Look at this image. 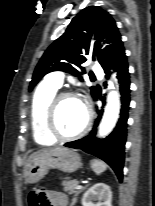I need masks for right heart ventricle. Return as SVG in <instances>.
Returning <instances> with one entry per match:
<instances>
[{
  "label": "right heart ventricle",
  "mask_w": 155,
  "mask_h": 206,
  "mask_svg": "<svg viewBox=\"0 0 155 206\" xmlns=\"http://www.w3.org/2000/svg\"><path fill=\"white\" fill-rule=\"evenodd\" d=\"M56 87L43 82L35 91L30 108V122L35 142L39 145H51L54 138L45 128V112L50 100L57 92Z\"/></svg>",
  "instance_id": "e07e8e85"
}]
</instances>
